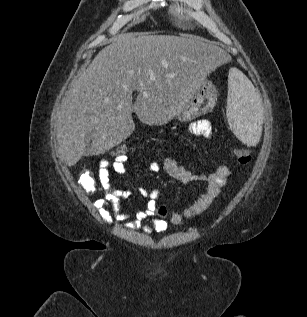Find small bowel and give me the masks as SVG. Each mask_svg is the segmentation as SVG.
I'll return each instance as SVG.
<instances>
[{
    "mask_svg": "<svg viewBox=\"0 0 307 317\" xmlns=\"http://www.w3.org/2000/svg\"><path fill=\"white\" fill-rule=\"evenodd\" d=\"M188 132L196 136L211 138L212 127L207 120H198L188 127ZM127 160L125 159H103L100 162L98 170V180L101 185L103 195L93 202V207L98 211L102 219L110 224L115 218L119 221H130L133 227L138 228L141 223L154 215L156 209V199L160 196L159 189L147 190L143 187L138 188L141 196L148 199L146 209L137 213H129L120 209L119 198L130 195L128 190H116L110 183V171L113 170L118 174H127ZM164 169L168 175L183 182H203L205 190L200 197L186 208L173 212L171 222L181 224L186 219L200 215L215 201L220 195L222 188L227 182L230 170L226 165L218 166L215 171L204 174H195L190 172L184 166L179 165L172 157L166 156L161 160H153L147 168L148 172H157ZM109 206H111L109 208ZM167 229V223L162 220H150L143 226L146 233L156 230L163 232Z\"/></svg>",
    "mask_w": 307,
    "mask_h": 317,
    "instance_id": "obj_1",
    "label": "small bowel"
}]
</instances>
